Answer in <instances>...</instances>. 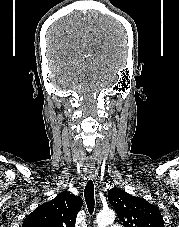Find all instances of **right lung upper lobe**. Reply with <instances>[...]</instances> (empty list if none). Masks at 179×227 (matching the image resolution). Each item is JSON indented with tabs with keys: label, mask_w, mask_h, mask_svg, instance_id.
I'll return each instance as SVG.
<instances>
[{
	"label": "right lung upper lobe",
	"mask_w": 179,
	"mask_h": 227,
	"mask_svg": "<svg viewBox=\"0 0 179 227\" xmlns=\"http://www.w3.org/2000/svg\"><path fill=\"white\" fill-rule=\"evenodd\" d=\"M82 205L79 196L62 192L27 215L22 227H75Z\"/></svg>",
	"instance_id": "obj_1"
}]
</instances>
